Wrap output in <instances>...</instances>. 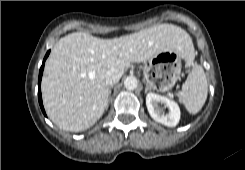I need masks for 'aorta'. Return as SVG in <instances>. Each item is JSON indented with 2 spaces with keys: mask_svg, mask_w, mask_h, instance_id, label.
<instances>
[{
  "mask_svg": "<svg viewBox=\"0 0 245 170\" xmlns=\"http://www.w3.org/2000/svg\"><path fill=\"white\" fill-rule=\"evenodd\" d=\"M138 80L134 76H129L124 81V87L127 90H134L137 88Z\"/></svg>",
  "mask_w": 245,
  "mask_h": 170,
  "instance_id": "762f6f07",
  "label": "aorta"
}]
</instances>
